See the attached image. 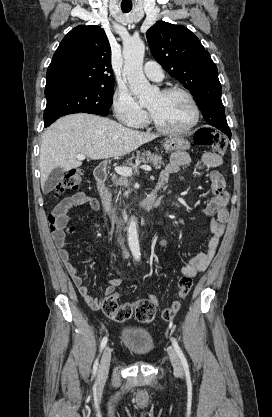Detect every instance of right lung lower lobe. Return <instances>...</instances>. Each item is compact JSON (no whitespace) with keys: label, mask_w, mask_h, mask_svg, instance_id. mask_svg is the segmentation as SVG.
I'll use <instances>...</instances> for the list:
<instances>
[{"label":"right lung lower lobe","mask_w":272,"mask_h":417,"mask_svg":"<svg viewBox=\"0 0 272 417\" xmlns=\"http://www.w3.org/2000/svg\"><path fill=\"white\" fill-rule=\"evenodd\" d=\"M50 125V124H49ZM49 125H44L45 127H48Z\"/></svg>","instance_id":"right-lung-lower-lobe-1"}]
</instances>
